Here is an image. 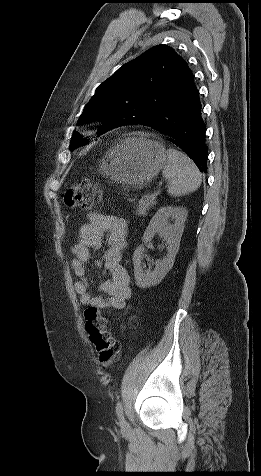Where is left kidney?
<instances>
[{
  "label": "left kidney",
  "instance_id": "1",
  "mask_svg": "<svg viewBox=\"0 0 261 476\" xmlns=\"http://www.w3.org/2000/svg\"><path fill=\"white\" fill-rule=\"evenodd\" d=\"M187 214V209L183 207L167 206L160 208L152 217L142 238L144 244L138 246L133 254L134 276L138 287L147 288L159 284L173 267ZM170 218L174 220L173 224L169 223ZM157 234L167 244V255L161 261L155 262L153 270L144 271V245Z\"/></svg>",
  "mask_w": 261,
  "mask_h": 476
}]
</instances>
